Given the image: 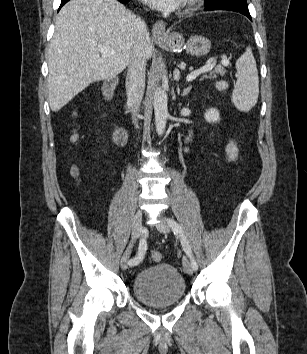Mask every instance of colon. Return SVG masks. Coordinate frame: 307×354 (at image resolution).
Wrapping results in <instances>:
<instances>
[{"label": "colon", "instance_id": "1", "mask_svg": "<svg viewBox=\"0 0 307 354\" xmlns=\"http://www.w3.org/2000/svg\"><path fill=\"white\" fill-rule=\"evenodd\" d=\"M151 259L155 262H159L162 259V254L159 251H152Z\"/></svg>", "mask_w": 307, "mask_h": 354}]
</instances>
